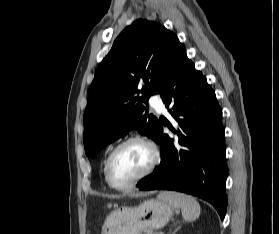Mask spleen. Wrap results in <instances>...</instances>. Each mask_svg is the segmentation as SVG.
Listing matches in <instances>:
<instances>
[{"label": "spleen", "mask_w": 279, "mask_h": 234, "mask_svg": "<svg viewBox=\"0 0 279 234\" xmlns=\"http://www.w3.org/2000/svg\"><path fill=\"white\" fill-rule=\"evenodd\" d=\"M158 198L175 208H180L186 221H195L200 215L201 207L194 197L177 192H163Z\"/></svg>", "instance_id": "1"}]
</instances>
